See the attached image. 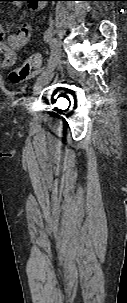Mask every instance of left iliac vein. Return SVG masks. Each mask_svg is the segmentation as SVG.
Instances as JSON below:
<instances>
[{
    "label": "left iliac vein",
    "mask_w": 127,
    "mask_h": 303,
    "mask_svg": "<svg viewBox=\"0 0 127 303\" xmlns=\"http://www.w3.org/2000/svg\"><path fill=\"white\" fill-rule=\"evenodd\" d=\"M52 46L55 51V62L51 67L46 68V70L38 78L36 85L34 87V94H38L40 90L48 85L53 77V70L57 65L62 63V54L59 50V43L56 38L52 39Z\"/></svg>",
    "instance_id": "obj_1"
}]
</instances>
